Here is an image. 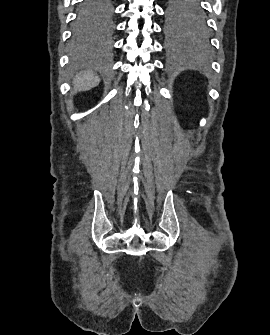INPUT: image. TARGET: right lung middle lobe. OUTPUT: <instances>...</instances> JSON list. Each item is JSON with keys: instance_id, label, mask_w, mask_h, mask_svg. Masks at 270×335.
Returning a JSON list of instances; mask_svg holds the SVG:
<instances>
[{"instance_id": "1", "label": "right lung middle lobe", "mask_w": 270, "mask_h": 335, "mask_svg": "<svg viewBox=\"0 0 270 335\" xmlns=\"http://www.w3.org/2000/svg\"><path fill=\"white\" fill-rule=\"evenodd\" d=\"M113 0H83L73 27L74 40L85 43L96 31L109 25Z\"/></svg>"}]
</instances>
